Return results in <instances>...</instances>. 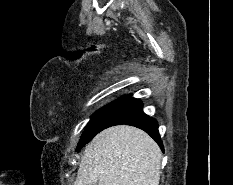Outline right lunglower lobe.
Instances as JSON below:
<instances>
[{"label":"right lung lower lobe","instance_id":"obj_1","mask_svg":"<svg viewBox=\"0 0 233 185\" xmlns=\"http://www.w3.org/2000/svg\"><path fill=\"white\" fill-rule=\"evenodd\" d=\"M132 125L147 132L164 151L158 132V123L142 111V103L128 95L101 122L99 132L114 125Z\"/></svg>","mask_w":233,"mask_h":185}]
</instances>
